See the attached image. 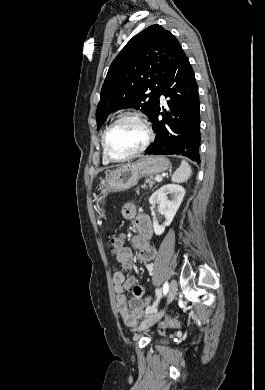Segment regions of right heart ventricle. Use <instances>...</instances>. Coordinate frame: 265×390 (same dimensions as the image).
<instances>
[{"mask_svg": "<svg viewBox=\"0 0 265 390\" xmlns=\"http://www.w3.org/2000/svg\"><path fill=\"white\" fill-rule=\"evenodd\" d=\"M103 163H104V164L109 163V160L106 158V156L104 155V153H103Z\"/></svg>", "mask_w": 265, "mask_h": 390, "instance_id": "obj_1", "label": "right heart ventricle"}]
</instances>
